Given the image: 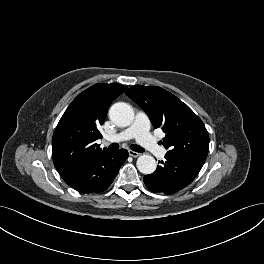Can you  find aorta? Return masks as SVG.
I'll use <instances>...</instances> for the list:
<instances>
[{"mask_svg": "<svg viewBox=\"0 0 264 264\" xmlns=\"http://www.w3.org/2000/svg\"><path fill=\"white\" fill-rule=\"evenodd\" d=\"M111 121L119 127L131 125L134 119L132 107L124 102H118L111 106L109 110ZM138 170L143 174H152L157 167L156 160L148 154L141 155L136 162Z\"/></svg>", "mask_w": 264, "mask_h": 264, "instance_id": "762f6f07", "label": "aorta"}]
</instances>
